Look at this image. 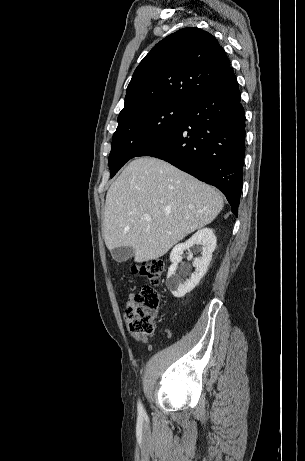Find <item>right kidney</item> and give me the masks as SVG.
I'll return each mask as SVG.
<instances>
[{
	"label": "right kidney",
	"mask_w": 305,
	"mask_h": 461,
	"mask_svg": "<svg viewBox=\"0 0 305 461\" xmlns=\"http://www.w3.org/2000/svg\"><path fill=\"white\" fill-rule=\"evenodd\" d=\"M216 242L217 239L213 230L210 228H203L198 230L185 243L178 244L172 249L170 254L172 265L168 270L166 286L174 297H184L199 284L200 280L207 272L212 259V253L216 248ZM197 244L202 245V248L201 256L195 258L193 261L195 271L188 279L182 281L181 277L176 274L178 263L182 260L183 252Z\"/></svg>",
	"instance_id": "right-kidney-1"
}]
</instances>
